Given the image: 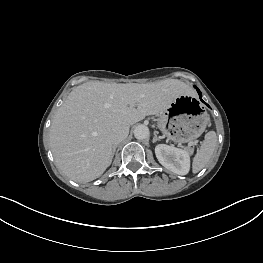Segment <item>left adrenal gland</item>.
I'll list each match as a JSON object with an SVG mask.
<instances>
[{
	"mask_svg": "<svg viewBox=\"0 0 263 263\" xmlns=\"http://www.w3.org/2000/svg\"><path fill=\"white\" fill-rule=\"evenodd\" d=\"M161 138H160V136H157V134L156 133H154V137H153V143H155L156 141H159Z\"/></svg>",
	"mask_w": 263,
	"mask_h": 263,
	"instance_id": "obj_1",
	"label": "left adrenal gland"
}]
</instances>
